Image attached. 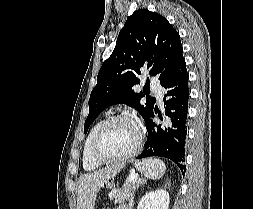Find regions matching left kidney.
Listing matches in <instances>:
<instances>
[{"label":"left kidney","instance_id":"1","mask_svg":"<svg viewBox=\"0 0 253 209\" xmlns=\"http://www.w3.org/2000/svg\"><path fill=\"white\" fill-rule=\"evenodd\" d=\"M169 193L160 189L145 194L138 203L137 209H168Z\"/></svg>","mask_w":253,"mask_h":209}]
</instances>
